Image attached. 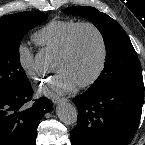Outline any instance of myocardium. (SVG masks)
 Returning <instances> with one entry per match:
<instances>
[{"label":"myocardium","instance_id":"myocardium-1","mask_svg":"<svg viewBox=\"0 0 145 145\" xmlns=\"http://www.w3.org/2000/svg\"><path fill=\"white\" fill-rule=\"evenodd\" d=\"M82 28H90L95 32V34L99 39L100 48H101V58L96 71L89 79L77 84L81 88H86L95 84L99 80L107 64L108 46L102 30L93 22H89V21L80 22L69 34L65 45L59 52V56L68 57L72 53L77 34Z\"/></svg>","mask_w":145,"mask_h":145}]
</instances>
